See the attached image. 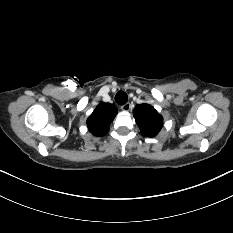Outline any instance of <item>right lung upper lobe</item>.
Listing matches in <instances>:
<instances>
[{"label":"right lung upper lobe","instance_id":"cb5924a9","mask_svg":"<svg viewBox=\"0 0 233 233\" xmlns=\"http://www.w3.org/2000/svg\"><path fill=\"white\" fill-rule=\"evenodd\" d=\"M116 114L117 108L113 104L101 102L87 119L89 131L94 136H104Z\"/></svg>","mask_w":233,"mask_h":233}]
</instances>
